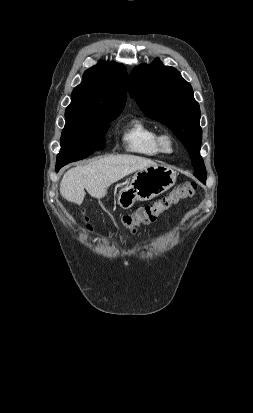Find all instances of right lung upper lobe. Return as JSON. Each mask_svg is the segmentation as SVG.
<instances>
[{
  "label": "right lung upper lobe",
  "instance_id": "1",
  "mask_svg": "<svg viewBox=\"0 0 253 413\" xmlns=\"http://www.w3.org/2000/svg\"><path fill=\"white\" fill-rule=\"evenodd\" d=\"M126 82L123 64L100 61L84 73L82 83L74 88L65 111L66 121L119 114L126 103Z\"/></svg>",
  "mask_w": 253,
  "mask_h": 413
}]
</instances>
